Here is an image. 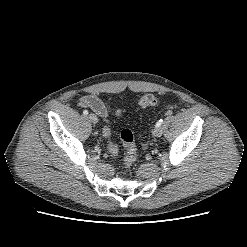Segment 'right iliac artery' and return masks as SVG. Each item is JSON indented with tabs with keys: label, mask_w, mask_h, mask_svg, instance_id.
<instances>
[{
	"label": "right iliac artery",
	"mask_w": 247,
	"mask_h": 247,
	"mask_svg": "<svg viewBox=\"0 0 247 247\" xmlns=\"http://www.w3.org/2000/svg\"><path fill=\"white\" fill-rule=\"evenodd\" d=\"M88 113H89V112H88L87 110H84V111H83V114H84V115H88Z\"/></svg>",
	"instance_id": "82829eb1"
}]
</instances>
